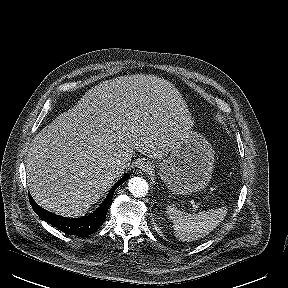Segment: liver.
<instances>
[{
  "label": "liver",
  "mask_w": 288,
  "mask_h": 288,
  "mask_svg": "<svg viewBox=\"0 0 288 288\" xmlns=\"http://www.w3.org/2000/svg\"><path fill=\"white\" fill-rule=\"evenodd\" d=\"M186 102L169 81L153 75L121 76L85 93L32 140L27 184L36 203L62 216L85 213L130 164L135 151L163 159L190 131Z\"/></svg>",
  "instance_id": "obj_1"
}]
</instances>
